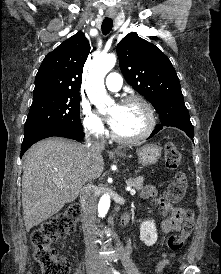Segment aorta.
I'll list each match as a JSON object with an SVG mask.
<instances>
[{
	"label": "aorta",
	"instance_id": "obj_1",
	"mask_svg": "<svg viewBox=\"0 0 221 274\" xmlns=\"http://www.w3.org/2000/svg\"><path fill=\"white\" fill-rule=\"evenodd\" d=\"M116 57L113 54L100 56L93 62L86 80V92L90 101L96 105L99 110L110 102L106 94L104 77L114 67ZM110 196L104 194L98 204V213L100 217H105L110 207Z\"/></svg>",
	"mask_w": 221,
	"mask_h": 274
}]
</instances>
